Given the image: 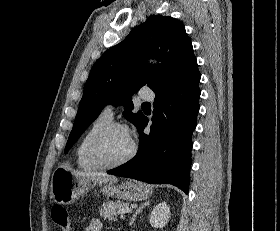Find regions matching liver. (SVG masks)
Here are the masks:
<instances>
[{
	"label": "liver",
	"instance_id": "6515ba94",
	"mask_svg": "<svg viewBox=\"0 0 280 231\" xmlns=\"http://www.w3.org/2000/svg\"><path fill=\"white\" fill-rule=\"evenodd\" d=\"M70 169L74 175H78V177H87V179H92V181H98V183H116L118 181L115 175H104V173H100V171H76V169H71V167H67Z\"/></svg>",
	"mask_w": 280,
	"mask_h": 231
}]
</instances>
